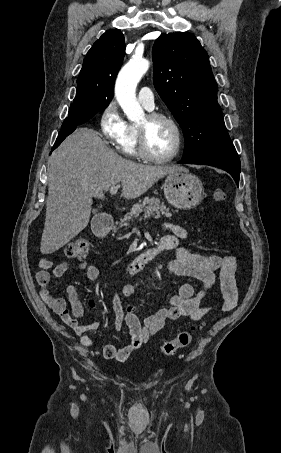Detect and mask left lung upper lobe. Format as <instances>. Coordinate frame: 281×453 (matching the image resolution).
I'll use <instances>...</instances> for the list:
<instances>
[{
	"instance_id": "5c2ea615",
	"label": "left lung upper lobe",
	"mask_w": 281,
	"mask_h": 453,
	"mask_svg": "<svg viewBox=\"0 0 281 453\" xmlns=\"http://www.w3.org/2000/svg\"><path fill=\"white\" fill-rule=\"evenodd\" d=\"M152 51L154 86L183 130V159L235 151L217 102L209 57L196 37L163 34Z\"/></svg>"
}]
</instances>
